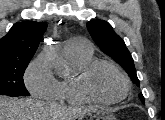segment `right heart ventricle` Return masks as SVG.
<instances>
[{"mask_svg":"<svg viewBox=\"0 0 165 120\" xmlns=\"http://www.w3.org/2000/svg\"><path fill=\"white\" fill-rule=\"evenodd\" d=\"M69 62L72 73L59 82L56 100L68 104H85L89 100L79 90L78 81L85 66L94 60L92 51L89 52H64Z\"/></svg>","mask_w":165,"mask_h":120,"instance_id":"right-heart-ventricle-1","label":"right heart ventricle"}]
</instances>
